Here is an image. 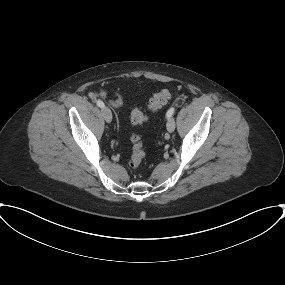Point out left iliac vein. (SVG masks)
Returning a JSON list of instances; mask_svg holds the SVG:
<instances>
[{
    "label": "left iliac vein",
    "mask_w": 285,
    "mask_h": 285,
    "mask_svg": "<svg viewBox=\"0 0 285 285\" xmlns=\"http://www.w3.org/2000/svg\"><path fill=\"white\" fill-rule=\"evenodd\" d=\"M166 126L169 133L175 130V120L173 117L168 118Z\"/></svg>",
    "instance_id": "1"
}]
</instances>
